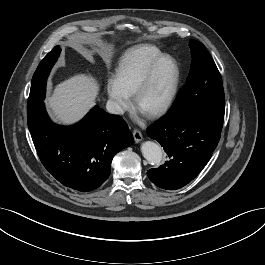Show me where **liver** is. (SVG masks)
<instances>
[{
    "mask_svg": "<svg viewBox=\"0 0 265 265\" xmlns=\"http://www.w3.org/2000/svg\"><path fill=\"white\" fill-rule=\"evenodd\" d=\"M100 84L90 74H76L56 85L46 105L62 124L79 121L94 105Z\"/></svg>",
    "mask_w": 265,
    "mask_h": 265,
    "instance_id": "liver-1",
    "label": "liver"
}]
</instances>
